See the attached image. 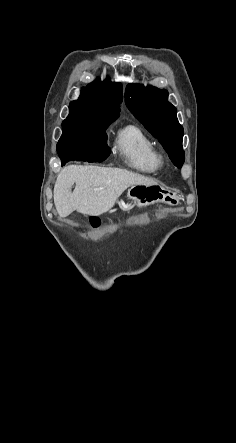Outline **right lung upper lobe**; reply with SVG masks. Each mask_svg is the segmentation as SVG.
Masks as SVG:
<instances>
[{
    "mask_svg": "<svg viewBox=\"0 0 236 443\" xmlns=\"http://www.w3.org/2000/svg\"><path fill=\"white\" fill-rule=\"evenodd\" d=\"M122 85L96 80L82 88L81 95L69 105V114L118 117L123 100Z\"/></svg>",
    "mask_w": 236,
    "mask_h": 443,
    "instance_id": "right-lung-upper-lobe-1",
    "label": "right lung upper lobe"
}]
</instances>
